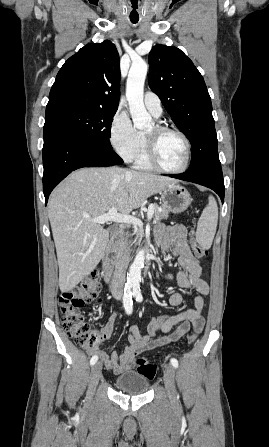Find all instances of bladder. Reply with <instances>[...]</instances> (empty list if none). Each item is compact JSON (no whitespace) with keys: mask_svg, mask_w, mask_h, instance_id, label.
<instances>
[{"mask_svg":"<svg viewBox=\"0 0 269 447\" xmlns=\"http://www.w3.org/2000/svg\"><path fill=\"white\" fill-rule=\"evenodd\" d=\"M113 384L116 391L130 395H143L150 391V379L140 371H125L115 376Z\"/></svg>","mask_w":269,"mask_h":447,"instance_id":"obj_1","label":"bladder"}]
</instances>
